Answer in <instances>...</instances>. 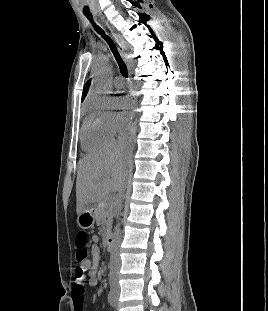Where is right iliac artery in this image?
I'll return each instance as SVG.
<instances>
[{
    "mask_svg": "<svg viewBox=\"0 0 268 311\" xmlns=\"http://www.w3.org/2000/svg\"><path fill=\"white\" fill-rule=\"evenodd\" d=\"M108 302L109 304L114 307L115 305V297H114V292L112 290L109 291L108 293Z\"/></svg>",
    "mask_w": 268,
    "mask_h": 311,
    "instance_id": "82829eb1",
    "label": "right iliac artery"
}]
</instances>
